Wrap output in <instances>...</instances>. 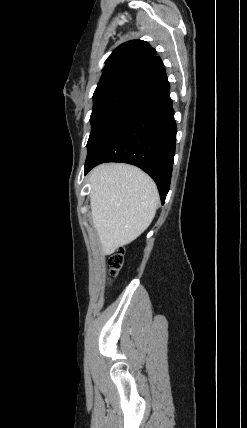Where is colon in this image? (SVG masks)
<instances>
[{"mask_svg": "<svg viewBox=\"0 0 247 428\" xmlns=\"http://www.w3.org/2000/svg\"><path fill=\"white\" fill-rule=\"evenodd\" d=\"M123 261H124L123 251H118L109 258V267H110L111 277H114L117 275V273L119 272V270L123 265Z\"/></svg>", "mask_w": 247, "mask_h": 428, "instance_id": "1", "label": "colon"}]
</instances>
